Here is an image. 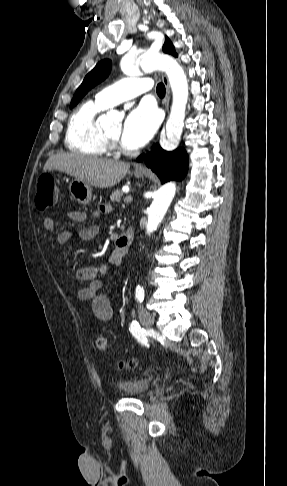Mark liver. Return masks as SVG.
<instances>
[{
	"label": "liver",
	"mask_w": 287,
	"mask_h": 486,
	"mask_svg": "<svg viewBox=\"0 0 287 486\" xmlns=\"http://www.w3.org/2000/svg\"><path fill=\"white\" fill-rule=\"evenodd\" d=\"M59 170L98 188L119 183L130 169L126 162L100 159L77 153H58L50 156L43 170Z\"/></svg>",
	"instance_id": "liver-1"
}]
</instances>
